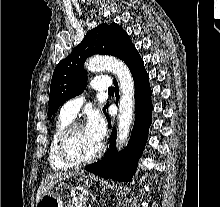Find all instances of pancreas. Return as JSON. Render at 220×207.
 Instances as JSON below:
<instances>
[{
	"label": "pancreas",
	"instance_id": "pancreas-1",
	"mask_svg": "<svg viewBox=\"0 0 220 207\" xmlns=\"http://www.w3.org/2000/svg\"><path fill=\"white\" fill-rule=\"evenodd\" d=\"M66 207H86L85 200H71Z\"/></svg>",
	"mask_w": 220,
	"mask_h": 207
}]
</instances>
